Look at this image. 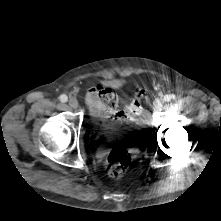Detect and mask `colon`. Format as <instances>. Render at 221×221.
Instances as JSON below:
<instances>
[{"label":"colon","instance_id":"1","mask_svg":"<svg viewBox=\"0 0 221 221\" xmlns=\"http://www.w3.org/2000/svg\"><path fill=\"white\" fill-rule=\"evenodd\" d=\"M146 96L144 88H137L134 99L130 105L131 110L138 114L141 110V101ZM106 102H111L109 98H105ZM131 156L127 149L121 146L114 147L108 154L105 162L106 171L111 178L121 177L129 168Z\"/></svg>","mask_w":221,"mask_h":221}]
</instances>
